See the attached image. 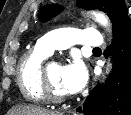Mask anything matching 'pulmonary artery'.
Returning <instances> with one entry per match:
<instances>
[{
	"label": "pulmonary artery",
	"mask_w": 131,
	"mask_h": 115,
	"mask_svg": "<svg viewBox=\"0 0 131 115\" xmlns=\"http://www.w3.org/2000/svg\"><path fill=\"white\" fill-rule=\"evenodd\" d=\"M76 43L83 46L100 47L103 45V39L100 31L94 28H66L54 30L42 36L37 45L43 51L51 54L55 49H64Z\"/></svg>",
	"instance_id": "pulmonary-artery-1"
}]
</instances>
